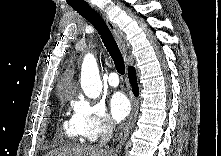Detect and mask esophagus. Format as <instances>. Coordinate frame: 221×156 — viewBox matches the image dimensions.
<instances>
[{
  "instance_id": "1",
  "label": "esophagus",
  "mask_w": 221,
  "mask_h": 156,
  "mask_svg": "<svg viewBox=\"0 0 221 156\" xmlns=\"http://www.w3.org/2000/svg\"><path fill=\"white\" fill-rule=\"evenodd\" d=\"M86 1L89 3V5L92 8H94L95 10L100 12V14L102 15L103 19L105 20L107 26L109 27L111 32L114 34V36L117 38V40L120 42L121 48H122V51H123L124 55H126V47H125V44L122 41L121 35L119 34L116 25L109 19V17L105 13H103L101 10H99V8H97L95 5H93L90 0H86ZM135 113H136V106H135V103H134V107H133V114H134V116H135ZM131 124L132 123L130 122L128 125H126V127L120 133V136H119L120 138L123 137V135L126 133L128 128L131 126Z\"/></svg>"
}]
</instances>
